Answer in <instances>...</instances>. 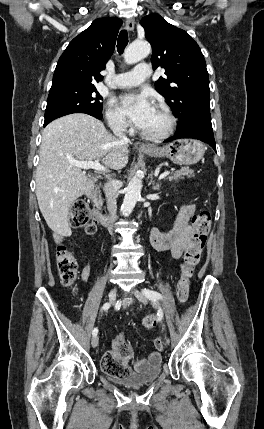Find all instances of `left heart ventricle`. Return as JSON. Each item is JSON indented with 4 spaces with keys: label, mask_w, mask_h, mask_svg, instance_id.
<instances>
[{
    "label": "left heart ventricle",
    "mask_w": 264,
    "mask_h": 429,
    "mask_svg": "<svg viewBox=\"0 0 264 429\" xmlns=\"http://www.w3.org/2000/svg\"><path fill=\"white\" fill-rule=\"evenodd\" d=\"M167 126V119L161 111L154 108L151 115L140 128L143 132L148 134L161 133Z\"/></svg>",
    "instance_id": "obj_1"
}]
</instances>
